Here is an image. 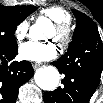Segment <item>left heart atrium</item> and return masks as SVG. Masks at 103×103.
I'll return each instance as SVG.
<instances>
[{"label": "left heart atrium", "mask_w": 103, "mask_h": 103, "mask_svg": "<svg viewBox=\"0 0 103 103\" xmlns=\"http://www.w3.org/2000/svg\"><path fill=\"white\" fill-rule=\"evenodd\" d=\"M57 54L56 47L51 42H26L19 48V56L23 60L42 62L54 58Z\"/></svg>", "instance_id": "39dd6f15"}]
</instances>
